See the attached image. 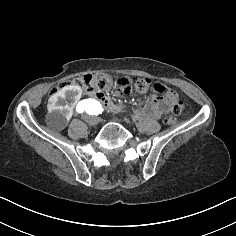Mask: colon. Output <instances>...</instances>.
I'll return each instance as SVG.
<instances>
[{"label":"colon","instance_id":"1","mask_svg":"<svg viewBox=\"0 0 236 236\" xmlns=\"http://www.w3.org/2000/svg\"><path fill=\"white\" fill-rule=\"evenodd\" d=\"M69 85H78L88 93L112 87L117 88V90L122 93H129L133 88L139 92H147L152 89L159 94H164L172 105L173 115H170L165 119V122L169 125H173L176 122V115H179L184 109L183 100L180 99L174 91L167 89L159 82L144 78L119 77L114 79L111 75L98 71L85 74L72 80L63 81L59 85L53 87L50 93L55 94L58 90Z\"/></svg>","mask_w":236,"mask_h":236}]
</instances>
